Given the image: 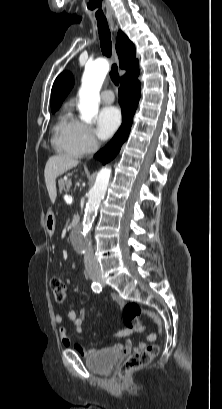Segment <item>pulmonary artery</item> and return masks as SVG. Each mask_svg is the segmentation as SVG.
Here are the masks:
<instances>
[{
  "label": "pulmonary artery",
  "instance_id": "e3ab8cb5",
  "mask_svg": "<svg viewBox=\"0 0 222 409\" xmlns=\"http://www.w3.org/2000/svg\"><path fill=\"white\" fill-rule=\"evenodd\" d=\"M101 100L106 103L110 104L114 101V94L111 90H104L101 92Z\"/></svg>",
  "mask_w": 222,
  "mask_h": 409
}]
</instances>
